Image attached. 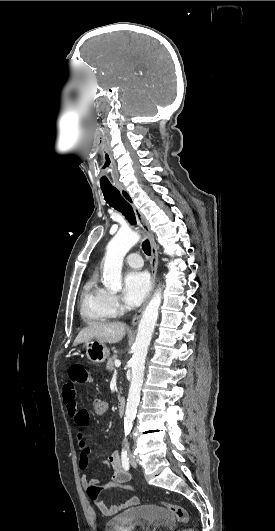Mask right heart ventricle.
<instances>
[{"instance_id":"obj_1","label":"right heart ventricle","mask_w":275,"mask_h":531,"mask_svg":"<svg viewBox=\"0 0 275 531\" xmlns=\"http://www.w3.org/2000/svg\"><path fill=\"white\" fill-rule=\"evenodd\" d=\"M82 316L90 323H104L112 314L106 304V290L99 284L96 275L85 281L80 295Z\"/></svg>"}]
</instances>
